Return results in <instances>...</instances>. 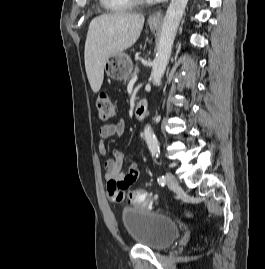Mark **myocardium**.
<instances>
[{"mask_svg": "<svg viewBox=\"0 0 265 269\" xmlns=\"http://www.w3.org/2000/svg\"><path fill=\"white\" fill-rule=\"evenodd\" d=\"M134 5H146L153 0H130Z\"/></svg>", "mask_w": 265, "mask_h": 269, "instance_id": "myocardium-1", "label": "myocardium"}]
</instances>
